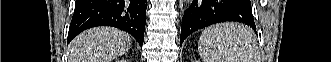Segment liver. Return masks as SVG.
<instances>
[{
	"label": "liver",
	"mask_w": 331,
	"mask_h": 62,
	"mask_svg": "<svg viewBox=\"0 0 331 62\" xmlns=\"http://www.w3.org/2000/svg\"><path fill=\"white\" fill-rule=\"evenodd\" d=\"M130 36L116 28L96 27L79 34L69 45L68 62H111L130 48Z\"/></svg>",
	"instance_id": "6515ba94"
}]
</instances>
